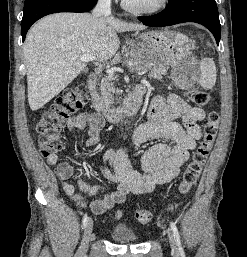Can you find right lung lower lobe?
<instances>
[{"mask_svg":"<svg viewBox=\"0 0 247 257\" xmlns=\"http://www.w3.org/2000/svg\"><path fill=\"white\" fill-rule=\"evenodd\" d=\"M97 0H25L21 21L23 41L31 25L38 19L56 12H87Z\"/></svg>","mask_w":247,"mask_h":257,"instance_id":"obj_1","label":"right lung lower lobe"}]
</instances>
